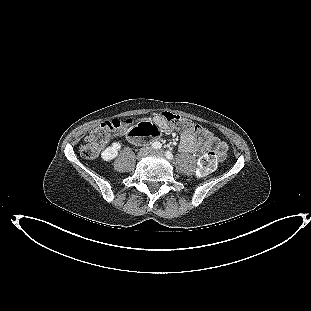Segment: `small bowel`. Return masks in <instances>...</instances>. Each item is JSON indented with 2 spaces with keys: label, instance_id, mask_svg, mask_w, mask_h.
I'll return each instance as SVG.
<instances>
[{
  "label": "small bowel",
  "instance_id": "small-bowel-1",
  "mask_svg": "<svg viewBox=\"0 0 311 311\" xmlns=\"http://www.w3.org/2000/svg\"><path fill=\"white\" fill-rule=\"evenodd\" d=\"M153 121L155 122L159 130H166L169 128L167 121L161 115L154 116ZM132 143L137 144L134 142ZM179 150L181 152H188V153H193V154H196L198 152V147L195 144L193 136L191 134L184 133L182 135V138L179 144Z\"/></svg>",
  "mask_w": 311,
  "mask_h": 311
}]
</instances>
